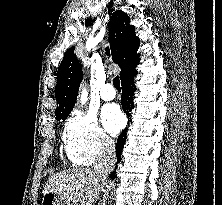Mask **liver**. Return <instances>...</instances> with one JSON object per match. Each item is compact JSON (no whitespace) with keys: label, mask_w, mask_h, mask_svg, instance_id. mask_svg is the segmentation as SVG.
I'll return each mask as SVG.
<instances>
[{"label":"liver","mask_w":222,"mask_h":205,"mask_svg":"<svg viewBox=\"0 0 222 205\" xmlns=\"http://www.w3.org/2000/svg\"><path fill=\"white\" fill-rule=\"evenodd\" d=\"M104 181L92 169L73 168L51 177L43 194L52 192L66 202L92 205L99 199Z\"/></svg>","instance_id":"6515ba94"}]
</instances>
